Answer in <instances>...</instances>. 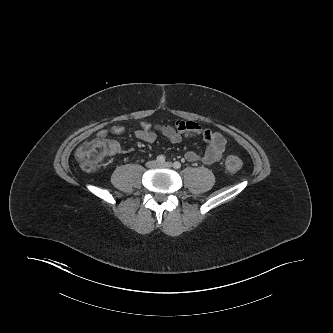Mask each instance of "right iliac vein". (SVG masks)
Returning a JSON list of instances; mask_svg holds the SVG:
<instances>
[{
  "label": "right iliac vein",
  "mask_w": 333,
  "mask_h": 333,
  "mask_svg": "<svg viewBox=\"0 0 333 333\" xmlns=\"http://www.w3.org/2000/svg\"><path fill=\"white\" fill-rule=\"evenodd\" d=\"M147 166H148L149 168H154V167L157 166V162L154 161V160L149 161V162L147 163Z\"/></svg>",
  "instance_id": "63e3f726"
}]
</instances>
